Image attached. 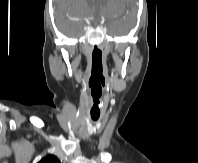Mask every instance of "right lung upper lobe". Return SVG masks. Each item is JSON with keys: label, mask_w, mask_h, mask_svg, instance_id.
Masks as SVG:
<instances>
[{"label": "right lung upper lobe", "mask_w": 198, "mask_h": 163, "mask_svg": "<svg viewBox=\"0 0 198 163\" xmlns=\"http://www.w3.org/2000/svg\"><path fill=\"white\" fill-rule=\"evenodd\" d=\"M38 163H60L58 158L54 155H49L42 158Z\"/></svg>", "instance_id": "right-lung-upper-lobe-1"}]
</instances>
